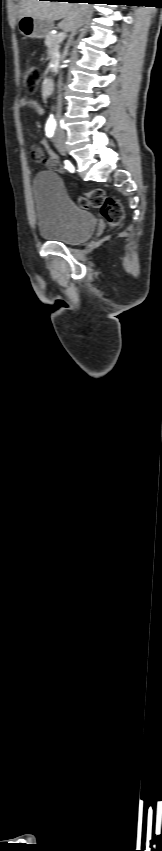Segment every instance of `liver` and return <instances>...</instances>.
I'll return each instance as SVG.
<instances>
[{
    "label": "liver",
    "mask_w": 162,
    "mask_h": 851,
    "mask_svg": "<svg viewBox=\"0 0 162 851\" xmlns=\"http://www.w3.org/2000/svg\"><path fill=\"white\" fill-rule=\"evenodd\" d=\"M84 9L88 12L89 5L77 2L21 0L19 19L23 16L50 22L62 19L59 26L65 32H72L82 24Z\"/></svg>",
    "instance_id": "obj_1"
}]
</instances>
